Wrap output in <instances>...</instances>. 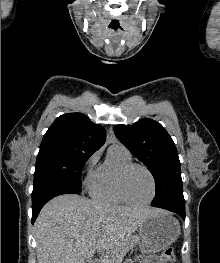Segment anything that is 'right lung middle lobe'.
<instances>
[{
	"instance_id": "dd1d6c3e",
	"label": "right lung middle lobe",
	"mask_w": 220,
	"mask_h": 263,
	"mask_svg": "<svg viewBox=\"0 0 220 263\" xmlns=\"http://www.w3.org/2000/svg\"><path fill=\"white\" fill-rule=\"evenodd\" d=\"M94 152L50 149L37 156L33 191L47 185L81 188V172Z\"/></svg>"
}]
</instances>
